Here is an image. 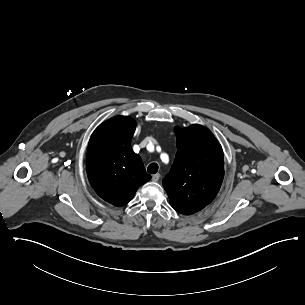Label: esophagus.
<instances>
[{"mask_svg":"<svg viewBox=\"0 0 305 305\" xmlns=\"http://www.w3.org/2000/svg\"><path fill=\"white\" fill-rule=\"evenodd\" d=\"M159 178H160V174H155L152 176V181L157 182L159 180Z\"/></svg>","mask_w":305,"mask_h":305,"instance_id":"esophagus-1","label":"esophagus"}]
</instances>
